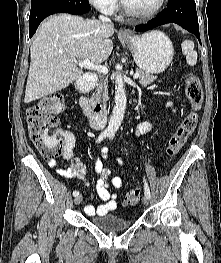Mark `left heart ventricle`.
<instances>
[{
    "label": "left heart ventricle",
    "mask_w": 221,
    "mask_h": 263,
    "mask_svg": "<svg viewBox=\"0 0 221 263\" xmlns=\"http://www.w3.org/2000/svg\"><path fill=\"white\" fill-rule=\"evenodd\" d=\"M135 10L148 11L157 6L160 0H126Z\"/></svg>",
    "instance_id": "1"
}]
</instances>
